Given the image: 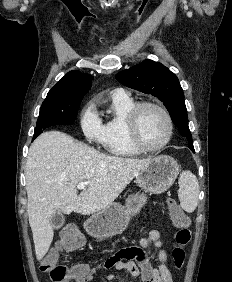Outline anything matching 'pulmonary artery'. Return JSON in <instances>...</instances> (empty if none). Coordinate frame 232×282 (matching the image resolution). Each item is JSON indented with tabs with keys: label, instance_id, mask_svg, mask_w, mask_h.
I'll list each match as a JSON object with an SVG mask.
<instances>
[{
	"label": "pulmonary artery",
	"instance_id": "e3ab8cb5",
	"mask_svg": "<svg viewBox=\"0 0 232 282\" xmlns=\"http://www.w3.org/2000/svg\"><path fill=\"white\" fill-rule=\"evenodd\" d=\"M115 95H128V93L123 88H117L113 91Z\"/></svg>",
	"mask_w": 232,
	"mask_h": 282
}]
</instances>
